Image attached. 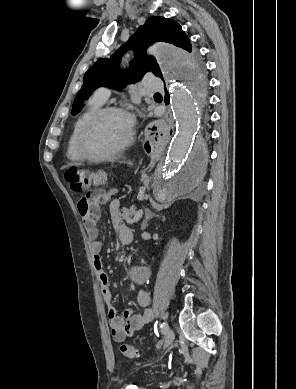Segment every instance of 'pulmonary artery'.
Returning a JSON list of instances; mask_svg holds the SVG:
<instances>
[{
    "label": "pulmonary artery",
    "instance_id": "1",
    "mask_svg": "<svg viewBox=\"0 0 296 389\" xmlns=\"http://www.w3.org/2000/svg\"><path fill=\"white\" fill-rule=\"evenodd\" d=\"M144 87L150 91H158L161 89L162 84L160 80L149 76L144 81ZM95 96L105 102L110 96V90L106 87H101L96 90Z\"/></svg>",
    "mask_w": 296,
    "mask_h": 389
}]
</instances>
